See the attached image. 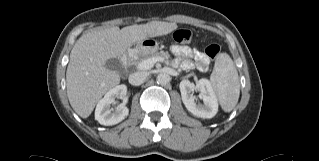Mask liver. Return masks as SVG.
I'll use <instances>...</instances> for the list:
<instances>
[{
    "mask_svg": "<svg viewBox=\"0 0 319 161\" xmlns=\"http://www.w3.org/2000/svg\"><path fill=\"white\" fill-rule=\"evenodd\" d=\"M176 23L151 21L119 29L100 28L81 36L73 46L66 71L67 96L82 118L92 113L97 102L120 83V76L105 67L111 58L121 57L134 44L163 36L177 29Z\"/></svg>",
    "mask_w": 319,
    "mask_h": 161,
    "instance_id": "obj_1",
    "label": "liver"
}]
</instances>
